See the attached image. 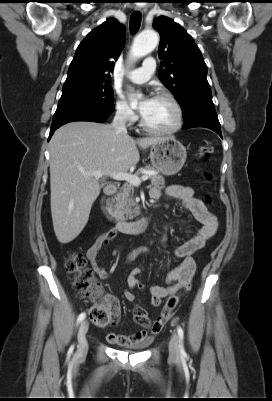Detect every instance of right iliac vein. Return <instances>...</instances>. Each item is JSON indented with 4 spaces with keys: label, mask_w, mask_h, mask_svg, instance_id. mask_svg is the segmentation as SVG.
Wrapping results in <instances>:
<instances>
[{
    "label": "right iliac vein",
    "mask_w": 272,
    "mask_h": 401,
    "mask_svg": "<svg viewBox=\"0 0 272 401\" xmlns=\"http://www.w3.org/2000/svg\"><path fill=\"white\" fill-rule=\"evenodd\" d=\"M88 328H89V323L87 320H84L81 323L78 331V351H77L78 356H83L84 354H86L88 350V342L86 338Z\"/></svg>",
    "instance_id": "1"
}]
</instances>
